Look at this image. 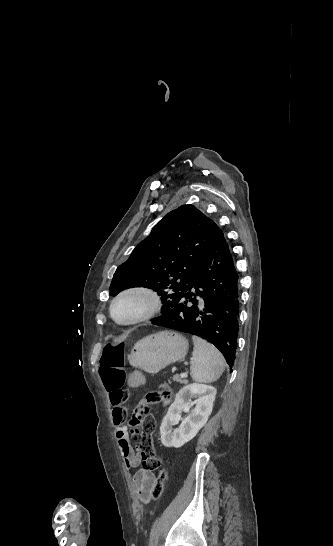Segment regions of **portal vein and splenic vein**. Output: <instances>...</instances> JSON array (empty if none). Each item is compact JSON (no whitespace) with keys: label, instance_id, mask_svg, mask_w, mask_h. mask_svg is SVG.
<instances>
[{"label":"portal vein and splenic vein","instance_id":"obj_1","mask_svg":"<svg viewBox=\"0 0 333 546\" xmlns=\"http://www.w3.org/2000/svg\"><path fill=\"white\" fill-rule=\"evenodd\" d=\"M181 376H182V377L186 376V373H182Z\"/></svg>","mask_w":333,"mask_h":546}]
</instances>
